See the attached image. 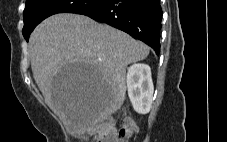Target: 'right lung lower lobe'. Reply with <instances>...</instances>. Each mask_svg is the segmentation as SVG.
Returning <instances> with one entry per match:
<instances>
[{"mask_svg": "<svg viewBox=\"0 0 227 142\" xmlns=\"http://www.w3.org/2000/svg\"><path fill=\"white\" fill-rule=\"evenodd\" d=\"M78 14L118 28L160 52V0H106Z\"/></svg>", "mask_w": 227, "mask_h": 142, "instance_id": "obj_1", "label": "right lung lower lobe"}]
</instances>
